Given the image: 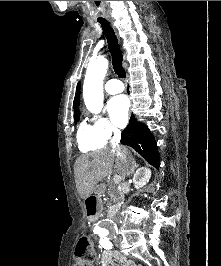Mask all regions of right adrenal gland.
Listing matches in <instances>:
<instances>
[{"label":"right adrenal gland","mask_w":221,"mask_h":266,"mask_svg":"<svg viewBox=\"0 0 221 266\" xmlns=\"http://www.w3.org/2000/svg\"><path fill=\"white\" fill-rule=\"evenodd\" d=\"M138 167H139V164H136V163H135V167H134V169L132 170L131 175L134 173V170L137 169Z\"/></svg>","instance_id":"right-adrenal-gland-1"}]
</instances>
